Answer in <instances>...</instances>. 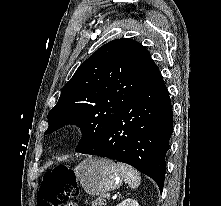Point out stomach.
Masks as SVG:
<instances>
[{
  "label": "stomach",
  "instance_id": "0dacf381",
  "mask_svg": "<svg viewBox=\"0 0 221 206\" xmlns=\"http://www.w3.org/2000/svg\"><path fill=\"white\" fill-rule=\"evenodd\" d=\"M74 172L87 193L99 196L119 188L124 178L121 169L113 161L97 157L85 159Z\"/></svg>",
  "mask_w": 221,
  "mask_h": 206
}]
</instances>
